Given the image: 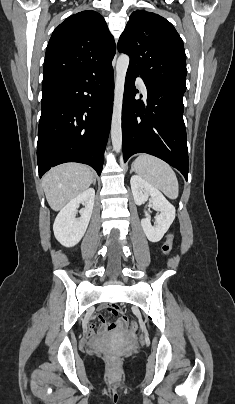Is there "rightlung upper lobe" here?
Wrapping results in <instances>:
<instances>
[{"instance_id":"cb5924a9","label":"right lung upper lobe","mask_w":235,"mask_h":404,"mask_svg":"<svg viewBox=\"0 0 235 404\" xmlns=\"http://www.w3.org/2000/svg\"><path fill=\"white\" fill-rule=\"evenodd\" d=\"M115 44L102 15L82 11L62 22L49 40L43 81L92 72L112 65Z\"/></svg>"}]
</instances>
